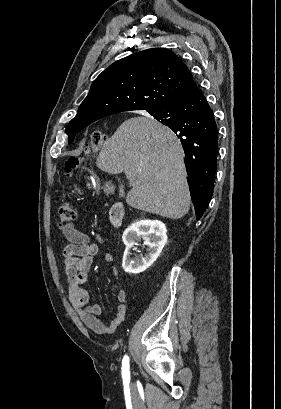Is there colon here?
<instances>
[{
    "label": "colon",
    "instance_id": "colon-1",
    "mask_svg": "<svg viewBox=\"0 0 281 409\" xmlns=\"http://www.w3.org/2000/svg\"><path fill=\"white\" fill-rule=\"evenodd\" d=\"M106 141L107 136L102 130H94L88 148L97 151L106 143ZM80 164L81 159L78 157H70L64 165V172L66 174H71L77 170ZM56 219L62 229L72 224L76 219L75 206L69 202L61 201L57 206Z\"/></svg>",
    "mask_w": 281,
    "mask_h": 409
}]
</instances>
